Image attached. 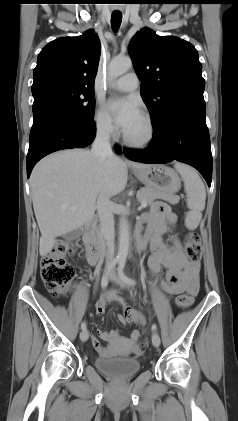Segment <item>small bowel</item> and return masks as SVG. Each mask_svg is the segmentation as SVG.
<instances>
[{"label":"small bowel","mask_w":238,"mask_h":421,"mask_svg":"<svg viewBox=\"0 0 238 421\" xmlns=\"http://www.w3.org/2000/svg\"><path fill=\"white\" fill-rule=\"evenodd\" d=\"M177 223V216L165 203H156L149 213L145 214L138 223V232L143 234L150 244L151 255L148 265L152 274L158 279L162 289L170 296L191 293L190 286L199 283V262H193L185 254L184 246L177 234L171 235V245L163 241V235L173 231ZM162 268L166 269L165 278L161 276ZM116 303L122 310L118 316L121 323L134 322L145 324V317L140 312L130 308L115 289L107 291L97 302L96 312L101 315L109 304ZM101 340L110 345H121L126 353L135 350L140 331L134 330L128 338L122 337L118 331L98 330ZM92 345L101 356H112V347H104L96 337H92Z\"/></svg>","instance_id":"1"}]
</instances>
